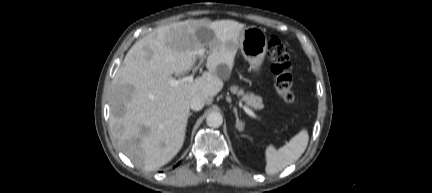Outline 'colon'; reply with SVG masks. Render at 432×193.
<instances>
[{
  "label": "colon",
  "instance_id": "obj_1",
  "mask_svg": "<svg viewBox=\"0 0 432 193\" xmlns=\"http://www.w3.org/2000/svg\"><path fill=\"white\" fill-rule=\"evenodd\" d=\"M268 57L271 61V72L275 76V88L280 99L289 105L296 103L292 92V75L289 51L284 43L273 36L268 43Z\"/></svg>",
  "mask_w": 432,
  "mask_h": 193
}]
</instances>
